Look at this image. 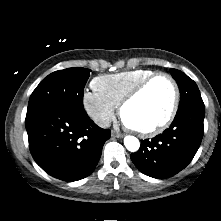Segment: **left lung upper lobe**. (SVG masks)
Returning a JSON list of instances; mask_svg holds the SVG:
<instances>
[{
	"instance_id": "1",
	"label": "left lung upper lobe",
	"mask_w": 221,
	"mask_h": 221,
	"mask_svg": "<svg viewBox=\"0 0 221 221\" xmlns=\"http://www.w3.org/2000/svg\"><path fill=\"white\" fill-rule=\"evenodd\" d=\"M171 73L176 80L181 93L178 110L192 105H204L200 91L191 78L177 69H171Z\"/></svg>"
}]
</instances>
